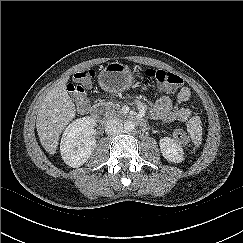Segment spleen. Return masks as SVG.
Segmentation results:
<instances>
[{"mask_svg":"<svg viewBox=\"0 0 243 243\" xmlns=\"http://www.w3.org/2000/svg\"><path fill=\"white\" fill-rule=\"evenodd\" d=\"M188 128L192 140H194V142L196 143L201 142L202 126H201V120L199 116H194L189 120Z\"/></svg>","mask_w":243,"mask_h":243,"instance_id":"3e777b00","label":"spleen"}]
</instances>
